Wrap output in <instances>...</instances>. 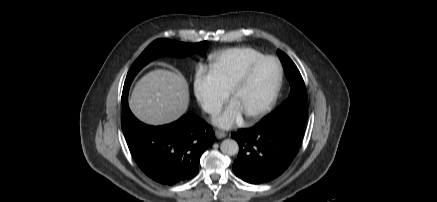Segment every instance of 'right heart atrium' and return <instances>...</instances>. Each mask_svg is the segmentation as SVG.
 <instances>
[{
  "mask_svg": "<svg viewBox=\"0 0 437 202\" xmlns=\"http://www.w3.org/2000/svg\"><path fill=\"white\" fill-rule=\"evenodd\" d=\"M193 93L203 111L210 115L216 114L229 96V91L213 71L203 65L196 67Z\"/></svg>",
  "mask_w": 437,
  "mask_h": 202,
  "instance_id": "right-heart-atrium-1",
  "label": "right heart atrium"
}]
</instances>
